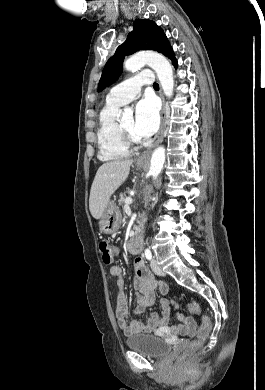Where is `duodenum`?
Wrapping results in <instances>:
<instances>
[{"instance_id": "obj_1", "label": "duodenum", "mask_w": 265, "mask_h": 390, "mask_svg": "<svg viewBox=\"0 0 265 390\" xmlns=\"http://www.w3.org/2000/svg\"><path fill=\"white\" fill-rule=\"evenodd\" d=\"M142 247V225L141 223L134 230L133 235L127 241V249L130 252L138 253Z\"/></svg>"}]
</instances>
